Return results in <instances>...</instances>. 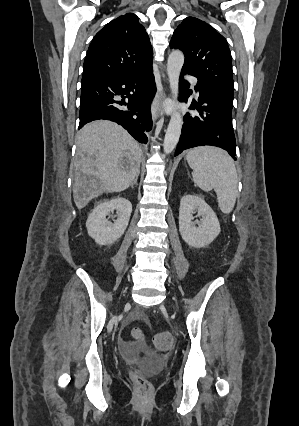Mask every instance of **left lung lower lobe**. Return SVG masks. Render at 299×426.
<instances>
[{
  "label": "left lung lower lobe",
  "mask_w": 299,
  "mask_h": 426,
  "mask_svg": "<svg viewBox=\"0 0 299 426\" xmlns=\"http://www.w3.org/2000/svg\"><path fill=\"white\" fill-rule=\"evenodd\" d=\"M182 73L193 75L184 69H182ZM189 86L190 84L181 77L180 100L183 102L188 101L189 95L186 93V89ZM195 90L200 93L198 103L193 102L189 108L197 109L200 114L195 116L187 113L184 116L182 134L175 156L188 148L212 145L225 149L236 160V141L232 128L233 101L200 81Z\"/></svg>",
  "instance_id": "obj_1"
}]
</instances>
